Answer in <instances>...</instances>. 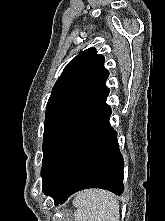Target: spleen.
Listing matches in <instances>:
<instances>
[{
  "label": "spleen",
  "instance_id": "3e777b00",
  "mask_svg": "<svg viewBox=\"0 0 165 221\" xmlns=\"http://www.w3.org/2000/svg\"><path fill=\"white\" fill-rule=\"evenodd\" d=\"M77 210L75 221H119V204L108 191L89 189L79 192L73 200Z\"/></svg>",
  "mask_w": 165,
  "mask_h": 221
}]
</instances>
